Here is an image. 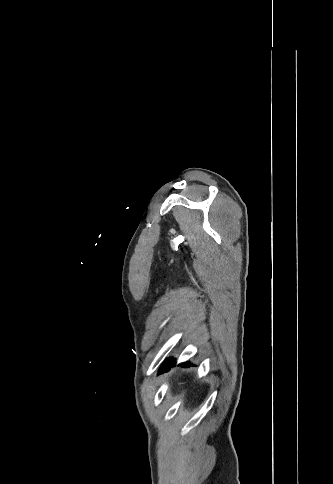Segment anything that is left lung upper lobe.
I'll list each match as a JSON object with an SVG mask.
<instances>
[{
    "instance_id": "left-lung-upper-lobe-1",
    "label": "left lung upper lobe",
    "mask_w": 333,
    "mask_h": 484,
    "mask_svg": "<svg viewBox=\"0 0 333 484\" xmlns=\"http://www.w3.org/2000/svg\"><path fill=\"white\" fill-rule=\"evenodd\" d=\"M160 372L162 373V372H164V370H160Z\"/></svg>"
}]
</instances>
